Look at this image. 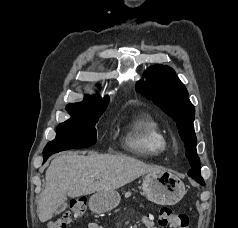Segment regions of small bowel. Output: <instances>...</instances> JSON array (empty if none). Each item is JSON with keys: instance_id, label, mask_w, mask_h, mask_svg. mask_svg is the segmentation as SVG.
I'll return each mask as SVG.
<instances>
[{"instance_id": "c3829d8e", "label": "small bowel", "mask_w": 238, "mask_h": 228, "mask_svg": "<svg viewBox=\"0 0 238 228\" xmlns=\"http://www.w3.org/2000/svg\"><path fill=\"white\" fill-rule=\"evenodd\" d=\"M142 222H143V224L145 225L146 228H157L155 226L153 217H151V216H144L142 218ZM88 228H104V227L95 223V222H92V223L89 224Z\"/></svg>"}]
</instances>
